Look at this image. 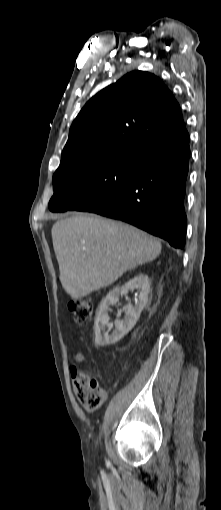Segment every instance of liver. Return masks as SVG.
I'll return each instance as SVG.
<instances>
[{"mask_svg": "<svg viewBox=\"0 0 221 510\" xmlns=\"http://www.w3.org/2000/svg\"><path fill=\"white\" fill-rule=\"evenodd\" d=\"M60 282L73 299L113 284L126 271L153 261L161 243L122 222L76 215L51 230Z\"/></svg>", "mask_w": 221, "mask_h": 510, "instance_id": "liver-1", "label": "liver"}]
</instances>
